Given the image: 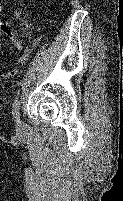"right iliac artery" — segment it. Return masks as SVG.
<instances>
[{
	"label": "right iliac artery",
	"instance_id": "right-iliac-artery-1",
	"mask_svg": "<svg viewBox=\"0 0 123 201\" xmlns=\"http://www.w3.org/2000/svg\"><path fill=\"white\" fill-rule=\"evenodd\" d=\"M20 102L18 100V98L15 100L14 104H13V110H12V113H13V116L15 118L16 121L19 120V116H20Z\"/></svg>",
	"mask_w": 123,
	"mask_h": 201
}]
</instances>
